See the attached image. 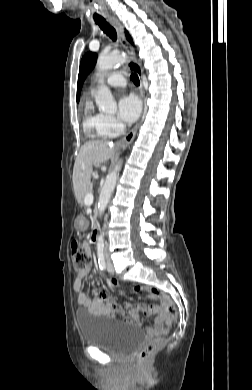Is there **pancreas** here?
<instances>
[{
  "instance_id": "cf45deb5",
  "label": "pancreas",
  "mask_w": 252,
  "mask_h": 390,
  "mask_svg": "<svg viewBox=\"0 0 252 390\" xmlns=\"http://www.w3.org/2000/svg\"><path fill=\"white\" fill-rule=\"evenodd\" d=\"M79 205H80V206H83V205H84V202H83V201H80V202H79ZM83 210H86V207H83Z\"/></svg>"
}]
</instances>
